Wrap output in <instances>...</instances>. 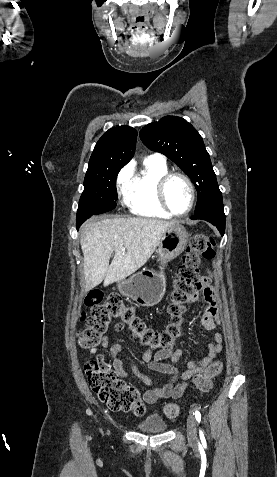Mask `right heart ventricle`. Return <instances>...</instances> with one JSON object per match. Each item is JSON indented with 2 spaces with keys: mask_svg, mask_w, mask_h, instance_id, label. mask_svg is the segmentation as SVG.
<instances>
[{
  "mask_svg": "<svg viewBox=\"0 0 277 477\" xmlns=\"http://www.w3.org/2000/svg\"><path fill=\"white\" fill-rule=\"evenodd\" d=\"M168 172L165 162L146 159L141 171L131 179L126 196L130 211L138 216L168 219L171 217L160 205L156 186L159 178Z\"/></svg>",
  "mask_w": 277,
  "mask_h": 477,
  "instance_id": "obj_1",
  "label": "right heart ventricle"
}]
</instances>
